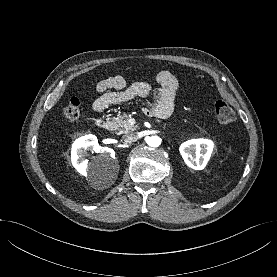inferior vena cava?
<instances>
[{
	"label": "inferior vena cava",
	"instance_id": "obj_1",
	"mask_svg": "<svg viewBox=\"0 0 277 277\" xmlns=\"http://www.w3.org/2000/svg\"><path fill=\"white\" fill-rule=\"evenodd\" d=\"M123 140L126 143H132L138 140V135L136 133L125 134L123 135Z\"/></svg>",
	"mask_w": 277,
	"mask_h": 277
}]
</instances>
